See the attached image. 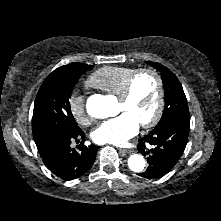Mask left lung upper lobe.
<instances>
[{
    "label": "left lung upper lobe",
    "instance_id": "left-lung-upper-lobe-1",
    "mask_svg": "<svg viewBox=\"0 0 221 221\" xmlns=\"http://www.w3.org/2000/svg\"><path fill=\"white\" fill-rule=\"evenodd\" d=\"M148 64L161 72L165 91V108L155 128H160L177 118L189 117L187 99L177 77L159 63L148 61Z\"/></svg>",
    "mask_w": 221,
    "mask_h": 221
}]
</instances>
